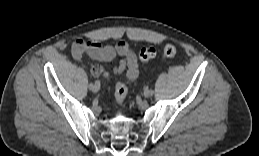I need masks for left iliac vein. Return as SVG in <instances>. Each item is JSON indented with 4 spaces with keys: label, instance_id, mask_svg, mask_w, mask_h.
Segmentation results:
<instances>
[{
    "label": "left iliac vein",
    "instance_id": "4c4485c4",
    "mask_svg": "<svg viewBox=\"0 0 259 156\" xmlns=\"http://www.w3.org/2000/svg\"><path fill=\"white\" fill-rule=\"evenodd\" d=\"M144 96L145 97H150L151 95H149V92H147V89L144 91Z\"/></svg>",
    "mask_w": 259,
    "mask_h": 156
}]
</instances>
